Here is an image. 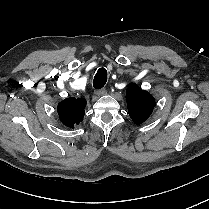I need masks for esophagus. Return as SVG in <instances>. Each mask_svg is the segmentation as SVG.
Listing matches in <instances>:
<instances>
[{
    "instance_id": "obj_1",
    "label": "esophagus",
    "mask_w": 209,
    "mask_h": 209,
    "mask_svg": "<svg viewBox=\"0 0 209 209\" xmlns=\"http://www.w3.org/2000/svg\"><path fill=\"white\" fill-rule=\"evenodd\" d=\"M95 93H96V95H98V96H102V95L107 94V91H106L105 88H102V89L97 90Z\"/></svg>"
}]
</instances>
